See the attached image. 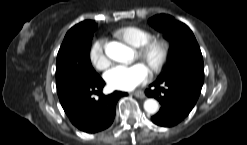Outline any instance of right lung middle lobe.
Instances as JSON below:
<instances>
[{
  "mask_svg": "<svg viewBox=\"0 0 247 145\" xmlns=\"http://www.w3.org/2000/svg\"><path fill=\"white\" fill-rule=\"evenodd\" d=\"M96 28L68 31L57 55L56 85L61 88L79 80L100 77L90 61V47Z\"/></svg>",
  "mask_w": 247,
  "mask_h": 145,
  "instance_id": "1",
  "label": "right lung middle lobe"
}]
</instances>
